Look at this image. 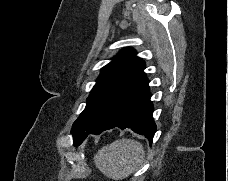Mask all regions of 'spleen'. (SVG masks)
I'll use <instances>...</instances> for the list:
<instances>
[{
  "label": "spleen",
  "mask_w": 228,
  "mask_h": 181,
  "mask_svg": "<svg viewBox=\"0 0 228 181\" xmlns=\"http://www.w3.org/2000/svg\"><path fill=\"white\" fill-rule=\"evenodd\" d=\"M145 151L134 139H118L102 147L94 157L95 167L113 181H123L136 171Z\"/></svg>",
  "instance_id": "obj_1"
}]
</instances>
